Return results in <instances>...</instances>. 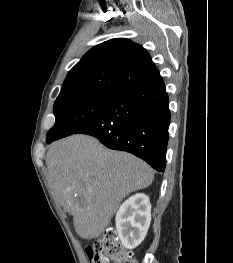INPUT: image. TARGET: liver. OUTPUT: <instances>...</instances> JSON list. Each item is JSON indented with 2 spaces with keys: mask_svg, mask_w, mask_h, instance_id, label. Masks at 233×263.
Returning a JSON list of instances; mask_svg holds the SVG:
<instances>
[{
  "mask_svg": "<svg viewBox=\"0 0 233 263\" xmlns=\"http://www.w3.org/2000/svg\"><path fill=\"white\" fill-rule=\"evenodd\" d=\"M45 162L56 197L83 239L99 237L120 202L148 187L154 177L139 158L81 134L52 143Z\"/></svg>",
  "mask_w": 233,
  "mask_h": 263,
  "instance_id": "obj_1",
  "label": "liver"
}]
</instances>
